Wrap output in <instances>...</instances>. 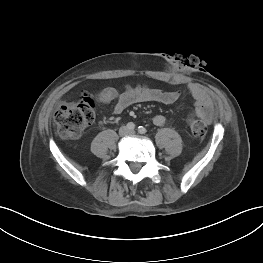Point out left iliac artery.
<instances>
[{"instance_id":"left-iliac-artery-1","label":"left iliac artery","mask_w":263,"mask_h":263,"mask_svg":"<svg viewBox=\"0 0 263 263\" xmlns=\"http://www.w3.org/2000/svg\"><path fill=\"white\" fill-rule=\"evenodd\" d=\"M138 132H139L140 134H145V133L147 132V130H146L145 127L139 126V127H138Z\"/></svg>"}]
</instances>
